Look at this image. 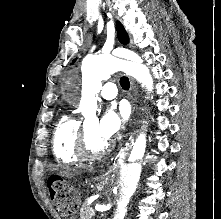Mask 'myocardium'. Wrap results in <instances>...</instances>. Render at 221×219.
Wrapping results in <instances>:
<instances>
[{
	"mask_svg": "<svg viewBox=\"0 0 221 219\" xmlns=\"http://www.w3.org/2000/svg\"><path fill=\"white\" fill-rule=\"evenodd\" d=\"M111 144H106L99 150L93 151L88 147L87 143V131L85 124L81 125L78 133L76 153L81 160H95L104 157L110 150Z\"/></svg>",
	"mask_w": 221,
	"mask_h": 219,
	"instance_id": "myocardium-1",
	"label": "myocardium"
}]
</instances>
